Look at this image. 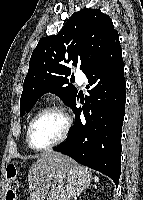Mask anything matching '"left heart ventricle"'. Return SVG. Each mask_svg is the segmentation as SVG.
<instances>
[{
  "label": "left heart ventricle",
  "instance_id": "b2bd125f",
  "mask_svg": "<svg viewBox=\"0 0 143 200\" xmlns=\"http://www.w3.org/2000/svg\"><path fill=\"white\" fill-rule=\"evenodd\" d=\"M65 128L64 117L52 112L41 117L31 131V142L35 147H44L56 141Z\"/></svg>",
  "mask_w": 143,
  "mask_h": 200
}]
</instances>
